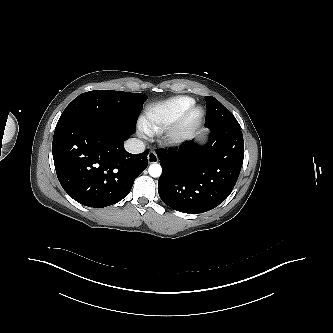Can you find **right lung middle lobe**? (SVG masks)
<instances>
[{"instance_id":"right-lung-middle-lobe-1","label":"right lung middle lobe","mask_w":333,"mask_h":333,"mask_svg":"<svg viewBox=\"0 0 333 333\" xmlns=\"http://www.w3.org/2000/svg\"><path fill=\"white\" fill-rule=\"evenodd\" d=\"M147 96L141 93L95 90L80 94L64 110L57 124L135 129Z\"/></svg>"}]
</instances>
